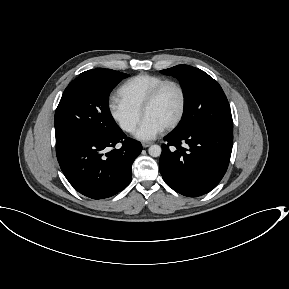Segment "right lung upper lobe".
<instances>
[{
  "label": "right lung upper lobe",
  "mask_w": 289,
  "mask_h": 289,
  "mask_svg": "<svg viewBox=\"0 0 289 289\" xmlns=\"http://www.w3.org/2000/svg\"><path fill=\"white\" fill-rule=\"evenodd\" d=\"M108 70H110V69L96 68V69L89 70V71H86V72H89V73H101V72H107Z\"/></svg>",
  "instance_id": "obj_1"
}]
</instances>
